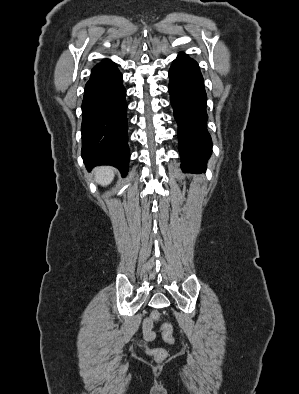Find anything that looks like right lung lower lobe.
<instances>
[{"mask_svg":"<svg viewBox=\"0 0 299 394\" xmlns=\"http://www.w3.org/2000/svg\"><path fill=\"white\" fill-rule=\"evenodd\" d=\"M126 90L116 65L105 59L94 66L82 102V158L88 169L96 165L128 172Z\"/></svg>","mask_w":299,"mask_h":394,"instance_id":"obj_1","label":"right lung lower lobe"}]
</instances>
